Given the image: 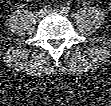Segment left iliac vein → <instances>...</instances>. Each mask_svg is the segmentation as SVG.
<instances>
[{"mask_svg": "<svg viewBox=\"0 0 111 106\" xmlns=\"http://www.w3.org/2000/svg\"><path fill=\"white\" fill-rule=\"evenodd\" d=\"M48 13L67 15L66 13H64V11L59 10V9L51 10V11H49Z\"/></svg>", "mask_w": 111, "mask_h": 106, "instance_id": "left-iliac-vein-1", "label": "left iliac vein"}]
</instances>
